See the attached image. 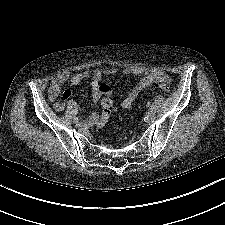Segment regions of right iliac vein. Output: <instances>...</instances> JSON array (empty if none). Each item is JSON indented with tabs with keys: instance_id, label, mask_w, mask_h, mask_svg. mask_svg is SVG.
Returning <instances> with one entry per match:
<instances>
[{
	"instance_id": "right-iliac-vein-1",
	"label": "right iliac vein",
	"mask_w": 225,
	"mask_h": 225,
	"mask_svg": "<svg viewBox=\"0 0 225 225\" xmlns=\"http://www.w3.org/2000/svg\"><path fill=\"white\" fill-rule=\"evenodd\" d=\"M75 124L77 127H81L83 125V123L81 121H76Z\"/></svg>"
}]
</instances>
